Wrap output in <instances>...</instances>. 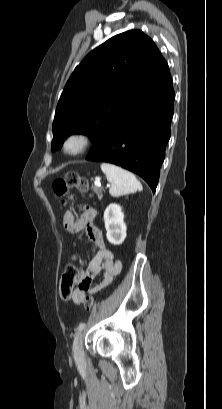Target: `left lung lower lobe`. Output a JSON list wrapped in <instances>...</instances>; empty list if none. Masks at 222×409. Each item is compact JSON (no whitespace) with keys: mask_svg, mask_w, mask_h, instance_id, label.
<instances>
[{"mask_svg":"<svg viewBox=\"0 0 222 409\" xmlns=\"http://www.w3.org/2000/svg\"><path fill=\"white\" fill-rule=\"evenodd\" d=\"M174 97L169 75L121 109L95 141L87 160L132 171L155 192L170 138Z\"/></svg>","mask_w":222,"mask_h":409,"instance_id":"0a47b994","label":"left lung lower lobe"}]
</instances>
